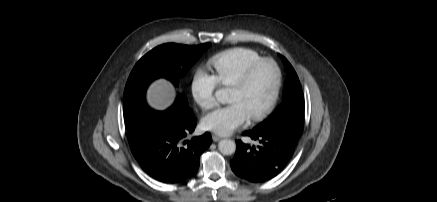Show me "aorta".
<instances>
[{
  "label": "aorta",
  "instance_id": "obj_1",
  "mask_svg": "<svg viewBox=\"0 0 437 202\" xmlns=\"http://www.w3.org/2000/svg\"><path fill=\"white\" fill-rule=\"evenodd\" d=\"M216 99L225 103L228 100V91L226 89H219L215 92ZM218 149L223 155H232L236 151V144L233 140L223 139L218 144Z\"/></svg>",
  "mask_w": 437,
  "mask_h": 202
}]
</instances>
